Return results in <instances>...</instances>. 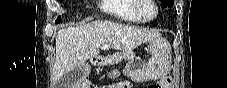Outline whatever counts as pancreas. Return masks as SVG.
Instances as JSON below:
<instances>
[{"instance_id":"obj_1","label":"pancreas","mask_w":227,"mask_h":88,"mask_svg":"<svg viewBox=\"0 0 227 88\" xmlns=\"http://www.w3.org/2000/svg\"><path fill=\"white\" fill-rule=\"evenodd\" d=\"M135 54L132 51H121V52H117L114 53L111 56V60L114 62H120L122 60H132L134 59Z\"/></svg>"}]
</instances>
